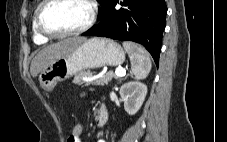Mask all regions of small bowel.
I'll return each instance as SVG.
<instances>
[{"label": "small bowel", "mask_w": 227, "mask_h": 142, "mask_svg": "<svg viewBox=\"0 0 227 142\" xmlns=\"http://www.w3.org/2000/svg\"><path fill=\"white\" fill-rule=\"evenodd\" d=\"M67 142H81V139L72 138L70 135L67 138ZM97 142H107L105 139H99Z\"/></svg>", "instance_id": "c3829d8e"}]
</instances>
